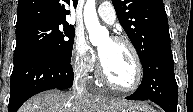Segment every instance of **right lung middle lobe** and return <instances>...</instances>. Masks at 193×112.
<instances>
[{"label":"right lung middle lobe","instance_id":"dd1d6c3e","mask_svg":"<svg viewBox=\"0 0 193 112\" xmlns=\"http://www.w3.org/2000/svg\"><path fill=\"white\" fill-rule=\"evenodd\" d=\"M75 30L68 23H37L16 29L14 62L35 53H50L70 62Z\"/></svg>","mask_w":193,"mask_h":112}]
</instances>
